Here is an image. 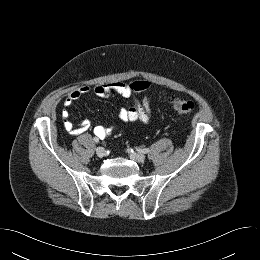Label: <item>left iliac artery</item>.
I'll return each instance as SVG.
<instances>
[{
  "mask_svg": "<svg viewBox=\"0 0 260 260\" xmlns=\"http://www.w3.org/2000/svg\"><path fill=\"white\" fill-rule=\"evenodd\" d=\"M139 152H141V153H144V154H146V153H149V148H144V149H137Z\"/></svg>",
  "mask_w": 260,
  "mask_h": 260,
  "instance_id": "44dca946",
  "label": "left iliac artery"
}]
</instances>
